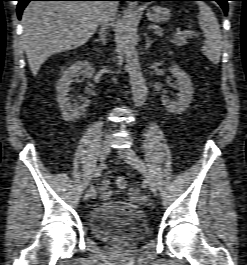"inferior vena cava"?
<instances>
[{"instance_id":"1","label":"inferior vena cava","mask_w":247,"mask_h":265,"mask_svg":"<svg viewBox=\"0 0 247 265\" xmlns=\"http://www.w3.org/2000/svg\"><path fill=\"white\" fill-rule=\"evenodd\" d=\"M117 9V3L114 1L103 2V10L100 14L98 23L101 27V31L105 32L108 26H110L112 17Z\"/></svg>"}]
</instances>
